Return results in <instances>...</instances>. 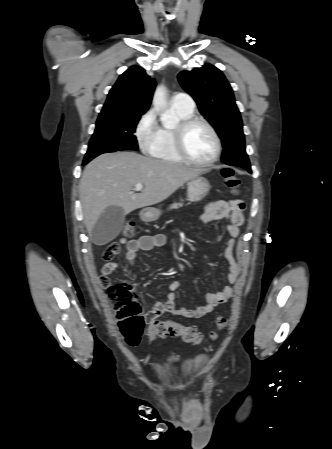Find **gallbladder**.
<instances>
[{
	"instance_id": "gallbladder-1",
	"label": "gallbladder",
	"mask_w": 332,
	"mask_h": 449,
	"mask_svg": "<svg viewBox=\"0 0 332 449\" xmlns=\"http://www.w3.org/2000/svg\"><path fill=\"white\" fill-rule=\"evenodd\" d=\"M125 220L123 208L109 206L99 216L95 223L91 239L96 245H105L115 239L120 233Z\"/></svg>"
}]
</instances>
